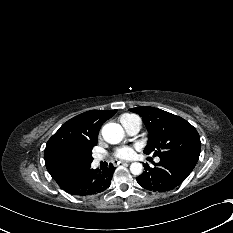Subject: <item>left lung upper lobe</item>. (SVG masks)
Wrapping results in <instances>:
<instances>
[{
	"label": "left lung upper lobe",
	"mask_w": 233,
	"mask_h": 233,
	"mask_svg": "<svg viewBox=\"0 0 233 233\" xmlns=\"http://www.w3.org/2000/svg\"><path fill=\"white\" fill-rule=\"evenodd\" d=\"M139 114L149 132L144 153L168 157L194 168L200 155L197 130L185 119L164 110L140 106L129 109Z\"/></svg>",
	"instance_id": "left-lung-upper-lobe-1"
}]
</instances>
